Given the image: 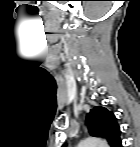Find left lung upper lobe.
Wrapping results in <instances>:
<instances>
[{
    "instance_id": "obj_1",
    "label": "left lung upper lobe",
    "mask_w": 140,
    "mask_h": 147,
    "mask_svg": "<svg viewBox=\"0 0 140 147\" xmlns=\"http://www.w3.org/2000/svg\"><path fill=\"white\" fill-rule=\"evenodd\" d=\"M86 123L92 136L107 139L112 147H122L120 127L112 111L97 106L87 115Z\"/></svg>"
}]
</instances>
